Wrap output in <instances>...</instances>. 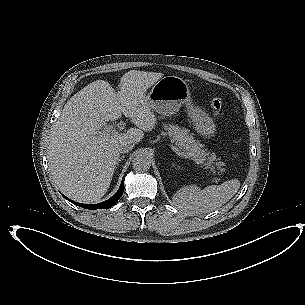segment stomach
<instances>
[{
  "label": "stomach",
  "instance_id": "obj_1",
  "mask_svg": "<svg viewBox=\"0 0 305 305\" xmlns=\"http://www.w3.org/2000/svg\"><path fill=\"white\" fill-rule=\"evenodd\" d=\"M147 100L152 109L161 115L176 114L185 105L195 129L203 135L214 133L212 119L192 101L189 85L177 76L160 78L147 93Z\"/></svg>",
  "mask_w": 305,
  "mask_h": 305
}]
</instances>
